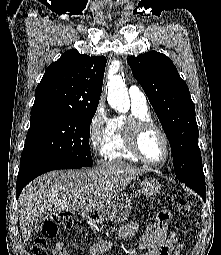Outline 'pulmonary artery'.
I'll use <instances>...</instances> for the list:
<instances>
[{"mask_svg": "<svg viewBox=\"0 0 221 255\" xmlns=\"http://www.w3.org/2000/svg\"><path fill=\"white\" fill-rule=\"evenodd\" d=\"M128 92L132 103L147 105V98L145 93L137 86H131Z\"/></svg>", "mask_w": 221, "mask_h": 255, "instance_id": "obj_1", "label": "pulmonary artery"}]
</instances>
